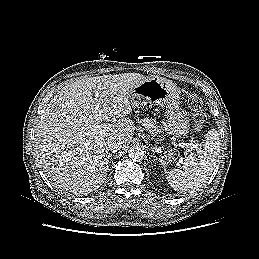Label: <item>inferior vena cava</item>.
Instances as JSON below:
<instances>
[{"label": "inferior vena cava", "mask_w": 259, "mask_h": 259, "mask_svg": "<svg viewBox=\"0 0 259 259\" xmlns=\"http://www.w3.org/2000/svg\"><path fill=\"white\" fill-rule=\"evenodd\" d=\"M109 150L116 152L122 148V142L118 140H111L108 142Z\"/></svg>", "instance_id": "1"}]
</instances>
